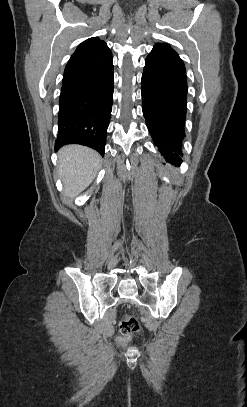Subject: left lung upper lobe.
<instances>
[{"mask_svg": "<svg viewBox=\"0 0 247 407\" xmlns=\"http://www.w3.org/2000/svg\"><path fill=\"white\" fill-rule=\"evenodd\" d=\"M153 49L156 50H161V51H165L168 53H172V54H176L178 55L172 48H170L167 44H161V43H157Z\"/></svg>", "mask_w": 247, "mask_h": 407, "instance_id": "1", "label": "left lung upper lobe"}]
</instances>
